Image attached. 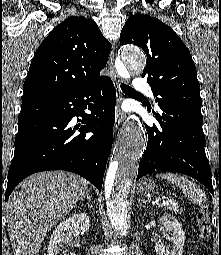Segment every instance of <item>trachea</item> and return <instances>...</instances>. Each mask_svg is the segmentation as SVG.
I'll list each match as a JSON object with an SVG mask.
<instances>
[{"label": "trachea", "instance_id": "trachea-1", "mask_svg": "<svg viewBox=\"0 0 221 255\" xmlns=\"http://www.w3.org/2000/svg\"><path fill=\"white\" fill-rule=\"evenodd\" d=\"M120 87H121L122 91H124L125 93L134 94V95H140L138 92H136L134 89H132L128 85L121 84Z\"/></svg>", "mask_w": 221, "mask_h": 255}]
</instances>
